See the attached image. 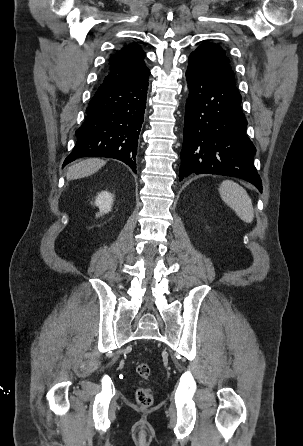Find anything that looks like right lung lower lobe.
<instances>
[{
	"label": "right lung lower lobe",
	"instance_id": "right-lung-lower-lobe-1",
	"mask_svg": "<svg viewBox=\"0 0 303 446\" xmlns=\"http://www.w3.org/2000/svg\"><path fill=\"white\" fill-rule=\"evenodd\" d=\"M148 76L95 93L84 123L76 130L77 143L63 166L81 157H107L121 160L136 173Z\"/></svg>",
	"mask_w": 303,
	"mask_h": 446
}]
</instances>
